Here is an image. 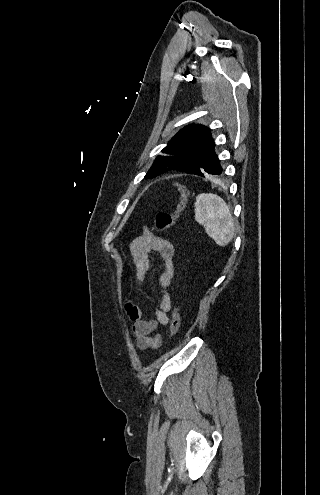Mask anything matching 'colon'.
<instances>
[{
	"label": "colon",
	"instance_id": "colon-1",
	"mask_svg": "<svg viewBox=\"0 0 320 495\" xmlns=\"http://www.w3.org/2000/svg\"><path fill=\"white\" fill-rule=\"evenodd\" d=\"M176 187H177L178 196H179V202H178L176 210L173 213L163 212V213H158L156 215L155 225H156V228L160 231H166L171 226H173L175 224V222L178 220V218L180 217L183 210L186 208L188 198H189L188 189L185 185H182V184H177ZM180 324H181V318H180L178 308L176 307L172 313V316H171V323H170V337L171 338L175 337L178 334V331L180 329Z\"/></svg>",
	"mask_w": 320,
	"mask_h": 495
}]
</instances>
